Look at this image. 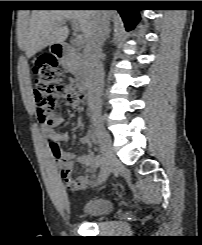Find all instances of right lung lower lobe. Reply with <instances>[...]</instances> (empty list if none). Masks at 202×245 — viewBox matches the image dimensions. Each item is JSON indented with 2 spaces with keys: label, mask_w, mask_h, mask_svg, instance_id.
Masks as SVG:
<instances>
[{
  "label": "right lung lower lobe",
  "mask_w": 202,
  "mask_h": 245,
  "mask_svg": "<svg viewBox=\"0 0 202 245\" xmlns=\"http://www.w3.org/2000/svg\"><path fill=\"white\" fill-rule=\"evenodd\" d=\"M80 5L85 7H115L128 31L132 30L140 19L138 10L132 8L131 1H82Z\"/></svg>",
  "instance_id": "98d812e1"
}]
</instances>
